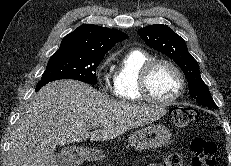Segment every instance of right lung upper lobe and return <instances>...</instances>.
<instances>
[{
	"label": "right lung upper lobe",
	"mask_w": 231,
	"mask_h": 166,
	"mask_svg": "<svg viewBox=\"0 0 231 166\" xmlns=\"http://www.w3.org/2000/svg\"><path fill=\"white\" fill-rule=\"evenodd\" d=\"M126 38L128 36L117 29L83 24L63 38L58 50L104 56L117 42Z\"/></svg>",
	"instance_id": "obj_1"
}]
</instances>
